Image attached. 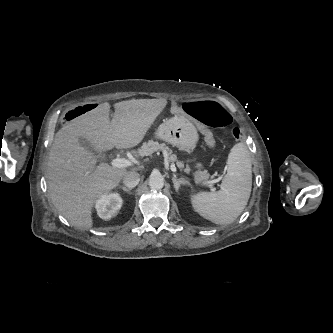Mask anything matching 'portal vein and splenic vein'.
Listing matches in <instances>:
<instances>
[{
    "mask_svg": "<svg viewBox=\"0 0 333 333\" xmlns=\"http://www.w3.org/2000/svg\"><path fill=\"white\" fill-rule=\"evenodd\" d=\"M135 163H136L135 161L126 159V158H116V159H113L111 162L112 166L115 168H125V167L132 166ZM166 164L168 165V162ZM170 169L172 172L177 171L174 164L170 165Z\"/></svg>",
    "mask_w": 333,
    "mask_h": 333,
    "instance_id": "portal-vein-and-splenic-vein-1",
    "label": "portal vein and splenic vein"
}]
</instances>
